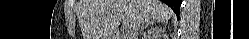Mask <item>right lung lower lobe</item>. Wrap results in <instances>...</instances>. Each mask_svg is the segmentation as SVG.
<instances>
[{
    "label": "right lung lower lobe",
    "instance_id": "obj_1",
    "mask_svg": "<svg viewBox=\"0 0 249 39\" xmlns=\"http://www.w3.org/2000/svg\"><path fill=\"white\" fill-rule=\"evenodd\" d=\"M163 2L166 3L169 7H171V9L179 17V9L181 6V0H163Z\"/></svg>",
    "mask_w": 249,
    "mask_h": 39
}]
</instances>
